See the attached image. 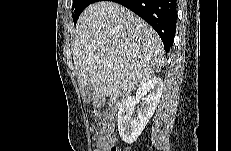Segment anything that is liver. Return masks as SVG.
Here are the masks:
<instances>
[{"mask_svg": "<svg viewBox=\"0 0 231 151\" xmlns=\"http://www.w3.org/2000/svg\"><path fill=\"white\" fill-rule=\"evenodd\" d=\"M73 61L81 87L99 97L125 96L163 64V43L144 20L112 1L90 4L80 15Z\"/></svg>", "mask_w": 231, "mask_h": 151, "instance_id": "6515ba94", "label": "liver"}]
</instances>
